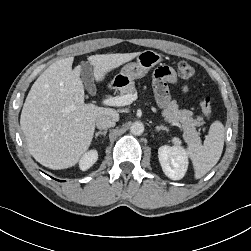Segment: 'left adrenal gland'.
Listing matches in <instances>:
<instances>
[{
	"instance_id": "a2214340",
	"label": "left adrenal gland",
	"mask_w": 251,
	"mask_h": 251,
	"mask_svg": "<svg viewBox=\"0 0 251 251\" xmlns=\"http://www.w3.org/2000/svg\"><path fill=\"white\" fill-rule=\"evenodd\" d=\"M160 130L168 131V129L166 127H164L163 125L155 127V131H160Z\"/></svg>"
}]
</instances>
